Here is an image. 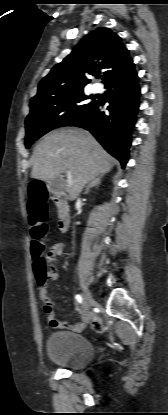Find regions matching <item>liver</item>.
Returning <instances> with one entry per match:
<instances>
[{"label": "liver", "mask_w": 168, "mask_h": 415, "mask_svg": "<svg viewBox=\"0 0 168 415\" xmlns=\"http://www.w3.org/2000/svg\"><path fill=\"white\" fill-rule=\"evenodd\" d=\"M115 163L96 139L86 130L66 127L51 131L34 149L31 177L49 181L71 172L74 200L84 186L111 170Z\"/></svg>", "instance_id": "6515ba94"}]
</instances>
